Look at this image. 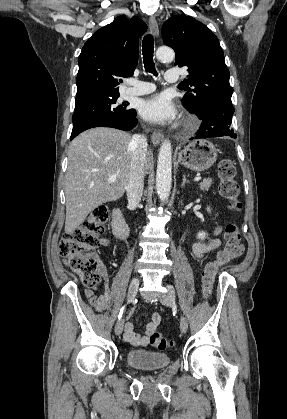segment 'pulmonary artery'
<instances>
[{"label": "pulmonary artery", "mask_w": 287, "mask_h": 419, "mask_svg": "<svg viewBox=\"0 0 287 419\" xmlns=\"http://www.w3.org/2000/svg\"><path fill=\"white\" fill-rule=\"evenodd\" d=\"M165 81L167 83H178L180 82V75L177 70H168L165 73ZM127 94L132 96H140L151 93L155 90V85L150 82L138 81L130 79L128 81Z\"/></svg>", "instance_id": "obj_1"}]
</instances>
